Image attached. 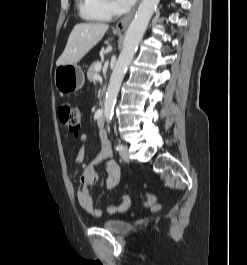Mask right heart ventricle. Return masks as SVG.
<instances>
[{
	"mask_svg": "<svg viewBox=\"0 0 247 265\" xmlns=\"http://www.w3.org/2000/svg\"><path fill=\"white\" fill-rule=\"evenodd\" d=\"M81 15L92 21H107L106 16L98 7V0H78Z\"/></svg>",
	"mask_w": 247,
	"mask_h": 265,
	"instance_id": "1",
	"label": "right heart ventricle"
}]
</instances>
